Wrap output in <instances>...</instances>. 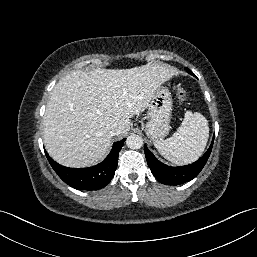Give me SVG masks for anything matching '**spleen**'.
Here are the masks:
<instances>
[{
    "instance_id": "spleen-1",
    "label": "spleen",
    "mask_w": 257,
    "mask_h": 257,
    "mask_svg": "<svg viewBox=\"0 0 257 257\" xmlns=\"http://www.w3.org/2000/svg\"><path fill=\"white\" fill-rule=\"evenodd\" d=\"M208 137L209 126L205 116L187 111L177 131L166 140H156L154 146L168 161L189 164L202 155Z\"/></svg>"
}]
</instances>
